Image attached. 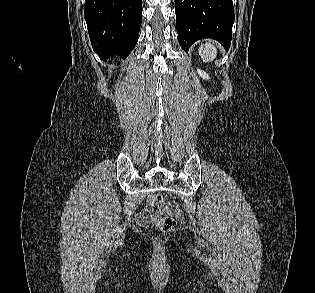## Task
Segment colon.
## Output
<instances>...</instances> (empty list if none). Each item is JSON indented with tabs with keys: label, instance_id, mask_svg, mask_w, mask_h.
I'll return each instance as SVG.
<instances>
[{
	"label": "colon",
	"instance_id": "5ec220e1",
	"mask_svg": "<svg viewBox=\"0 0 315 293\" xmlns=\"http://www.w3.org/2000/svg\"><path fill=\"white\" fill-rule=\"evenodd\" d=\"M149 202L151 205L162 206V208L167 211L169 214L178 215L179 209L175 204H166L163 205V198L160 194H153L149 198ZM176 225L175 220L170 216H164L158 218L155 221V227L163 233L170 232Z\"/></svg>",
	"mask_w": 315,
	"mask_h": 293
}]
</instances>
